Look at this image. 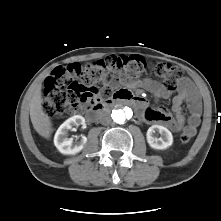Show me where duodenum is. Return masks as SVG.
Wrapping results in <instances>:
<instances>
[{
	"instance_id": "obj_1",
	"label": "duodenum",
	"mask_w": 221,
	"mask_h": 221,
	"mask_svg": "<svg viewBox=\"0 0 221 221\" xmlns=\"http://www.w3.org/2000/svg\"><path fill=\"white\" fill-rule=\"evenodd\" d=\"M118 102H126L138 109H141L144 105L142 99L134 97L126 89H121L103 101H95L93 106L86 110V115L89 119L94 120L102 111L107 110Z\"/></svg>"
}]
</instances>
